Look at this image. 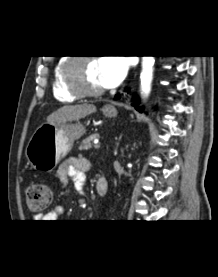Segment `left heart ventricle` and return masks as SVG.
Wrapping results in <instances>:
<instances>
[{
    "label": "left heart ventricle",
    "mask_w": 218,
    "mask_h": 277,
    "mask_svg": "<svg viewBox=\"0 0 218 277\" xmlns=\"http://www.w3.org/2000/svg\"><path fill=\"white\" fill-rule=\"evenodd\" d=\"M83 82L87 89L102 88L99 79L98 62L90 60L86 63L83 73Z\"/></svg>",
    "instance_id": "left-heart-ventricle-1"
}]
</instances>
